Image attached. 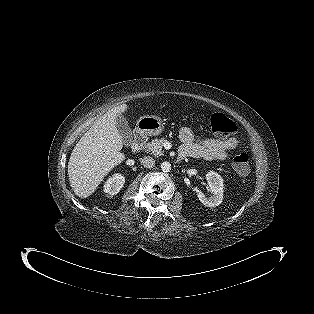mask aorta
<instances>
[{
  "label": "aorta",
  "mask_w": 314,
  "mask_h": 314,
  "mask_svg": "<svg viewBox=\"0 0 314 314\" xmlns=\"http://www.w3.org/2000/svg\"><path fill=\"white\" fill-rule=\"evenodd\" d=\"M161 170L163 171V172H170V170H171V164L169 163V162H167V161H165V162H163L162 164H161Z\"/></svg>",
  "instance_id": "762f6f07"
}]
</instances>
